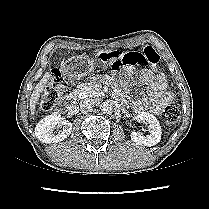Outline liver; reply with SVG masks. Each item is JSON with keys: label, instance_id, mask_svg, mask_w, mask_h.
<instances>
[{"label": "liver", "instance_id": "liver-1", "mask_svg": "<svg viewBox=\"0 0 209 209\" xmlns=\"http://www.w3.org/2000/svg\"><path fill=\"white\" fill-rule=\"evenodd\" d=\"M51 79V74L46 72L40 82L35 86L34 91L30 98V109L31 115H35L36 111V103L39 100L41 93H43L46 89L47 83Z\"/></svg>", "mask_w": 209, "mask_h": 209}]
</instances>
